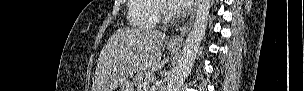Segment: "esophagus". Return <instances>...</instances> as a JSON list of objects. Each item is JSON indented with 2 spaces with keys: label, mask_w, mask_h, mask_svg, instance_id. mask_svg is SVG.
<instances>
[{
  "label": "esophagus",
  "mask_w": 304,
  "mask_h": 91,
  "mask_svg": "<svg viewBox=\"0 0 304 91\" xmlns=\"http://www.w3.org/2000/svg\"><path fill=\"white\" fill-rule=\"evenodd\" d=\"M196 7H197V1L195 3L194 6V11L189 19V21L187 23H185L182 27H180L179 32L175 35H173L169 40V44L173 45V46H181L183 44L184 41V37L186 36V34L189 32V30L192 27L193 21H194V17H195V11H196Z\"/></svg>",
  "instance_id": "1"
}]
</instances>
